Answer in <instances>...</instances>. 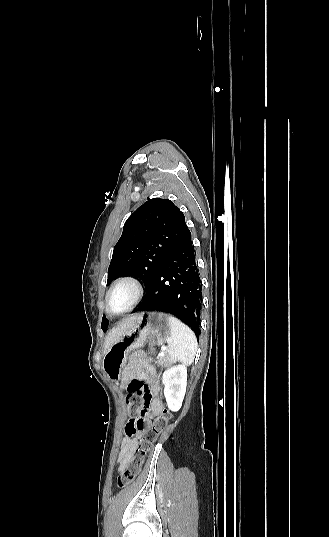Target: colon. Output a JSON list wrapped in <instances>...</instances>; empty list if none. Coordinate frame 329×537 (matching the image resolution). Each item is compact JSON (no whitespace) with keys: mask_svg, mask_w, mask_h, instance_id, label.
Returning <instances> with one entry per match:
<instances>
[{"mask_svg":"<svg viewBox=\"0 0 329 537\" xmlns=\"http://www.w3.org/2000/svg\"><path fill=\"white\" fill-rule=\"evenodd\" d=\"M150 396L144 389L136 396H127V411L133 427L140 432V439L135 456L127 468L117 477L116 483L120 488L127 487L137 477L146 454L151 450L159 435L165 430L171 413L164 408L159 417L152 423H148L144 416Z\"/></svg>","mask_w":329,"mask_h":537,"instance_id":"5ec220e1","label":"colon"}]
</instances>
